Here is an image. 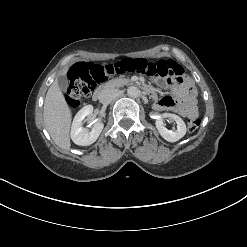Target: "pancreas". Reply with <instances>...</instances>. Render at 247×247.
Wrapping results in <instances>:
<instances>
[{
	"label": "pancreas",
	"mask_w": 247,
	"mask_h": 247,
	"mask_svg": "<svg viewBox=\"0 0 247 247\" xmlns=\"http://www.w3.org/2000/svg\"><path fill=\"white\" fill-rule=\"evenodd\" d=\"M128 82H129L128 79H120V80L112 81L111 84L114 86H121V85L126 84Z\"/></svg>",
	"instance_id": "cf45deb5"
}]
</instances>
